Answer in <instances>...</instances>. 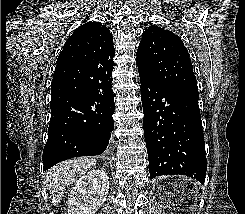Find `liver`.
Returning a JSON list of instances; mask_svg holds the SVG:
<instances>
[{"label": "liver", "mask_w": 245, "mask_h": 214, "mask_svg": "<svg viewBox=\"0 0 245 214\" xmlns=\"http://www.w3.org/2000/svg\"><path fill=\"white\" fill-rule=\"evenodd\" d=\"M96 165L95 158H77L64 161L46 172L45 186L50 192L51 201L57 206L67 186L72 184Z\"/></svg>", "instance_id": "1"}]
</instances>
